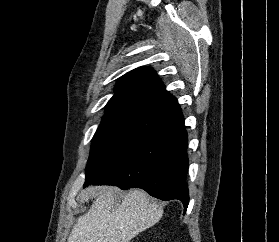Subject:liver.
I'll use <instances>...</instances> for the list:
<instances>
[{
  "mask_svg": "<svg viewBox=\"0 0 279 242\" xmlns=\"http://www.w3.org/2000/svg\"><path fill=\"white\" fill-rule=\"evenodd\" d=\"M93 193L95 201L76 221L68 242H129L163 215V208L140 189L123 195L119 204L114 187L98 186Z\"/></svg>",
  "mask_w": 279,
  "mask_h": 242,
  "instance_id": "1",
  "label": "liver"
}]
</instances>
